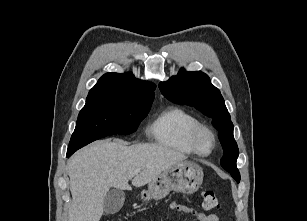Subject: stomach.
Here are the masks:
<instances>
[{
  "instance_id": "obj_1",
  "label": "stomach",
  "mask_w": 307,
  "mask_h": 221,
  "mask_svg": "<svg viewBox=\"0 0 307 221\" xmlns=\"http://www.w3.org/2000/svg\"><path fill=\"white\" fill-rule=\"evenodd\" d=\"M203 182L201 166L191 161H182L164 170L158 177L148 183L147 189L141 192L145 201L160 200L171 190L192 194Z\"/></svg>"
}]
</instances>
